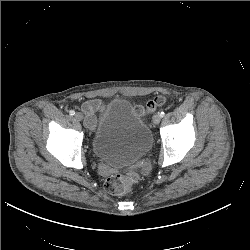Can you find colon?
Returning a JSON list of instances; mask_svg holds the SVG:
<instances>
[{"instance_id":"5ec220e1","label":"colon","mask_w":250,"mask_h":250,"mask_svg":"<svg viewBox=\"0 0 250 250\" xmlns=\"http://www.w3.org/2000/svg\"><path fill=\"white\" fill-rule=\"evenodd\" d=\"M164 102L163 97H155L145 103L143 106H139L137 111L140 114H146L158 109ZM139 175L134 171H124L114 174L107 178L105 182V189L115 195H124L130 192L133 187L138 183Z\"/></svg>"}]
</instances>
